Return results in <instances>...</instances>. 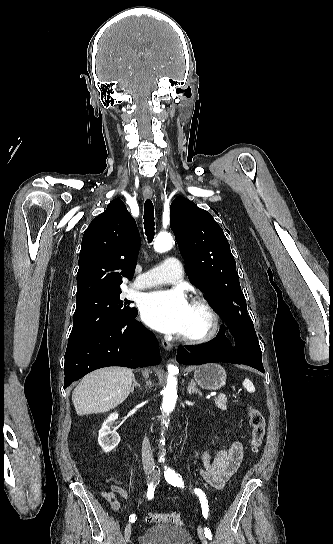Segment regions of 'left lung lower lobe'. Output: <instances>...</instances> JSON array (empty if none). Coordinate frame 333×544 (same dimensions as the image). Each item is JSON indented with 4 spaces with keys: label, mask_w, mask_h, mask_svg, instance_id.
<instances>
[{
    "label": "left lung lower lobe",
    "mask_w": 333,
    "mask_h": 544,
    "mask_svg": "<svg viewBox=\"0 0 333 544\" xmlns=\"http://www.w3.org/2000/svg\"><path fill=\"white\" fill-rule=\"evenodd\" d=\"M222 326L218 335L211 341L198 345L180 347L177 353L179 363L199 365L210 360L234 364H246L264 373L261 350L257 343L251 342L249 335L241 326H230V332L235 339L230 342Z\"/></svg>",
    "instance_id": "obj_1"
}]
</instances>
